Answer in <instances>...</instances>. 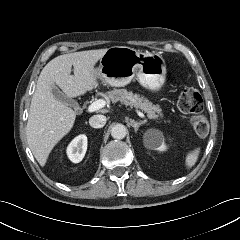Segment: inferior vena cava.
I'll use <instances>...</instances> for the list:
<instances>
[{"instance_id":"inferior-vena-cava-1","label":"inferior vena cava","mask_w":240,"mask_h":240,"mask_svg":"<svg viewBox=\"0 0 240 240\" xmlns=\"http://www.w3.org/2000/svg\"><path fill=\"white\" fill-rule=\"evenodd\" d=\"M89 124L93 128H102L106 124L104 115H94L89 119Z\"/></svg>"}]
</instances>
